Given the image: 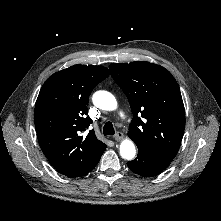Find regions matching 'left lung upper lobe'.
<instances>
[{
    "mask_svg": "<svg viewBox=\"0 0 221 221\" xmlns=\"http://www.w3.org/2000/svg\"><path fill=\"white\" fill-rule=\"evenodd\" d=\"M109 70L130 103L133 119L128 136L138 151L173 160L184 133L185 111L172 74L145 61L113 63Z\"/></svg>",
    "mask_w": 221,
    "mask_h": 221,
    "instance_id": "obj_1",
    "label": "left lung upper lobe"
}]
</instances>
